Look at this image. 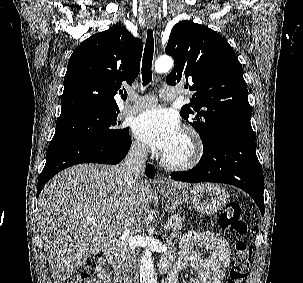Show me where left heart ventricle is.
I'll use <instances>...</instances> for the list:
<instances>
[{"instance_id": "left-heart-ventricle-1", "label": "left heart ventricle", "mask_w": 303, "mask_h": 283, "mask_svg": "<svg viewBox=\"0 0 303 283\" xmlns=\"http://www.w3.org/2000/svg\"><path fill=\"white\" fill-rule=\"evenodd\" d=\"M189 151V143L182 134L178 143L165 155L171 160H181L188 156Z\"/></svg>"}]
</instances>
